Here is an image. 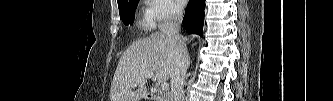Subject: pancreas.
<instances>
[{
  "label": "pancreas",
  "instance_id": "cf45deb5",
  "mask_svg": "<svg viewBox=\"0 0 333 101\" xmlns=\"http://www.w3.org/2000/svg\"><path fill=\"white\" fill-rule=\"evenodd\" d=\"M169 100H170V96L168 94L161 93L159 95V101H169Z\"/></svg>",
  "mask_w": 333,
  "mask_h": 101
}]
</instances>
